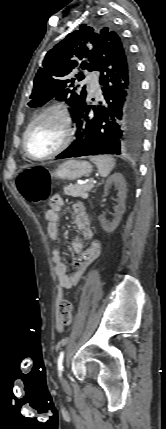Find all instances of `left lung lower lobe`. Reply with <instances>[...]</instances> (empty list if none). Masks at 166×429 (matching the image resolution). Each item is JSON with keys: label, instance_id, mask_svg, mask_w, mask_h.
Instances as JSON below:
<instances>
[{"label": "left lung lower lobe", "instance_id": "left-lung-lower-lobe-1", "mask_svg": "<svg viewBox=\"0 0 166 429\" xmlns=\"http://www.w3.org/2000/svg\"><path fill=\"white\" fill-rule=\"evenodd\" d=\"M93 70L100 72L104 100L96 107L86 99L74 120L77 139L56 158L135 155L139 151L143 94L135 62L120 37L114 36L100 47ZM90 110L93 114L88 116Z\"/></svg>", "mask_w": 166, "mask_h": 429}]
</instances>
